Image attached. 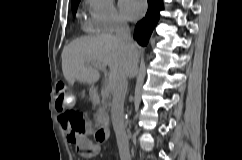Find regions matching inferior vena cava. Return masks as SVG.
I'll return each mask as SVG.
<instances>
[{
  "label": "inferior vena cava",
  "mask_w": 242,
  "mask_h": 160,
  "mask_svg": "<svg viewBox=\"0 0 242 160\" xmlns=\"http://www.w3.org/2000/svg\"><path fill=\"white\" fill-rule=\"evenodd\" d=\"M116 37L126 48V58L122 68L116 76V84L113 89V99L111 104V118L116 134L117 145L121 160H131L129 153V143L124 126V100L127 92L128 81H132L134 73H139L136 58V45L131 39L130 29L126 23H119L116 27Z\"/></svg>",
  "instance_id": "602c4592"
}]
</instances>
